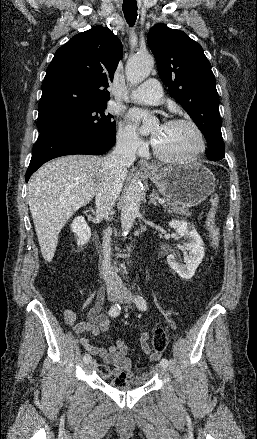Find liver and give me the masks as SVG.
<instances>
[{"label": "liver", "mask_w": 257, "mask_h": 439, "mask_svg": "<svg viewBox=\"0 0 257 439\" xmlns=\"http://www.w3.org/2000/svg\"><path fill=\"white\" fill-rule=\"evenodd\" d=\"M103 161L97 156L69 155L44 164L31 177L28 203L46 262L52 261L66 222L96 195L104 176Z\"/></svg>", "instance_id": "1"}]
</instances>
